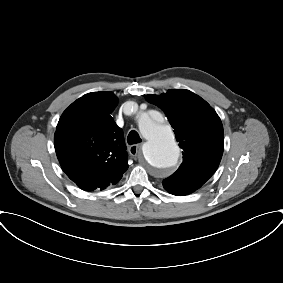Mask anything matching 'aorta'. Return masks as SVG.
I'll return each mask as SVG.
<instances>
[{"label":"aorta","mask_w":283,"mask_h":283,"mask_svg":"<svg viewBox=\"0 0 283 283\" xmlns=\"http://www.w3.org/2000/svg\"><path fill=\"white\" fill-rule=\"evenodd\" d=\"M138 127L146 139L142 150L148 164L157 171L173 169L178 161L179 147L171 127L163 124L159 113L142 115Z\"/></svg>","instance_id":"1"}]
</instances>
